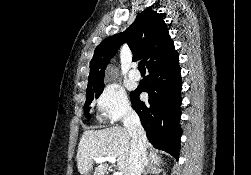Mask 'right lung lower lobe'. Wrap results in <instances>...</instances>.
Wrapping results in <instances>:
<instances>
[{"label":"right lung lower lobe","instance_id":"1","mask_svg":"<svg viewBox=\"0 0 251 175\" xmlns=\"http://www.w3.org/2000/svg\"><path fill=\"white\" fill-rule=\"evenodd\" d=\"M178 61L179 56H176L167 63L149 68V75L130 93L132 106L151 144L176 160L182 134L179 125L182 82ZM143 91L148 93V100H140Z\"/></svg>","mask_w":251,"mask_h":175}]
</instances>
